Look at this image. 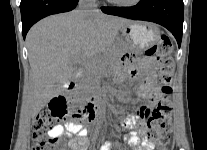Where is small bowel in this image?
I'll return each instance as SVG.
<instances>
[{
  "label": "small bowel",
  "mask_w": 207,
  "mask_h": 150,
  "mask_svg": "<svg viewBox=\"0 0 207 150\" xmlns=\"http://www.w3.org/2000/svg\"><path fill=\"white\" fill-rule=\"evenodd\" d=\"M154 61L151 58H145L140 62L139 67L131 66L127 69L130 77L136 78L140 73H145L146 77L138 86V94L144 98L149 99L151 103L156 102L160 96L159 87L151 73ZM118 80L121 75H118ZM150 109L146 106L141 107L137 114L126 116L121 121V126L133 131L128 136V144L133 147V150H150L151 145H147L146 141H142L140 133L145 131V121L148 117ZM51 137L60 138L61 136L69 137L68 150H87L89 140L87 130L82 124L77 121H69L64 125H57L49 131ZM117 140H105V145H99V150H128V145H117Z\"/></svg>",
  "instance_id": "small-bowel-1"
}]
</instances>
